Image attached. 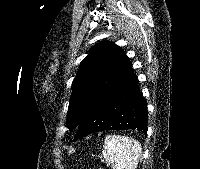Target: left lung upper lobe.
Masks as SVG:
<instances>
[{"label": "left lung upper lobe", "mask_w": 200, "mask_h": 169, "mask_svg": "<svg viewBox=\"0 0 200 169\" xmlns=\"http://www.w3.org/2000/svg\"><path fill=\"white\" fill-rule=\"evenodd\" d=\"M133 76L129 58L119 46L112 42L93 46L72 83L66 127L77 128L96 102Z\"/></svg>", "instance_id": "5c2ea615"}]
</instances>
